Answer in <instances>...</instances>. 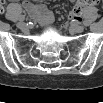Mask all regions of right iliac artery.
<instances>
[{
    "instance_id": "right-iliac-artery-1",
    "label": "right iliac artery",
    "mask_w": 103,
    "mask_h": 103,
    "mask_svg": "<svg viewBox=\"0 0 103 103\" xmlns=\"http://www.w3.org/2000/svg\"><path fill=\"white\" fill-rule=\"evenodd\" d=\"M19 20H20V21L25 20V16H24V15H21V16L19 17Z\"/></svg>"
}]
</instances>
